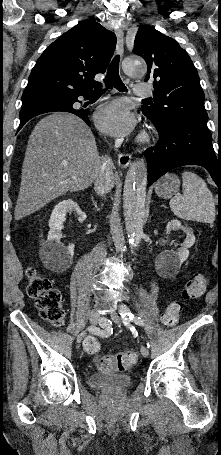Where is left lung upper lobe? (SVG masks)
Here are the masks:
<instances>
[{
	"label": "left lung upper lobe",
	"instance_id": "5c2ea615",
	"mask_svg": "<svg viewBox=\"0 0 221 455\" xmlns=\"http://www.w3.org/2000/svg\"><path fill=\"white\" fill-rule=\"evenodd\" d=\"M133 52L146 61L145 81L154 87V104L142 107L145 116L165 126L179 121L207 124L197 70L174 39L145 26L136 34Z\"/></svg>",
	"mask_w": 221,
	"mask_h": 455
}]
</instances>
